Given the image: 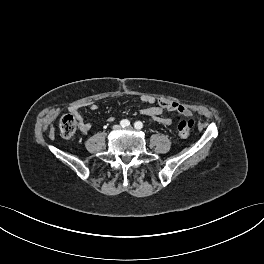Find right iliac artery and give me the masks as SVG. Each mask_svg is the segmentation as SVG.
<instances>
[{
    "label": "right iliac artery",
    "instance_id": "obj_1",
    "mask_svg": "<svg viewBox=\"0 0 264 264\" xmlns=\"http://www.w3.org/2000/svg\"><path fill=\"white\" fill-rule=\"evenodd\" d=\"M120 125H121L123 128H124V127H128V126L130 125V122H129V120H127V119H123V120H121Z\"/></svg>",
    "mask_w": 264,
    "mask_h": 264
}]
</instances>
